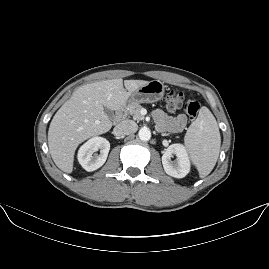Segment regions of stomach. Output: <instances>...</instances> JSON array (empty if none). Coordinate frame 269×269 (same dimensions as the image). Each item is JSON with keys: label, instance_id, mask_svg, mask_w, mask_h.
Instances as JSON below:
<instances>
[{"label": "stomach", "instance_id": "1", "mask_svg": "<svg viewBox=\"0 0 269 269\" xmlns=\"http://www.w3.org/2000/svg\"><path fill=\"white\" fill-rule=\"evenodd\" d=\"M164 84L160 80H152L148 84L140 86L134 91L129 99V103H153L161 100L164 95Z\"/></svg>", "mask_w": 269, "mask_h": 269}]
</instances>
